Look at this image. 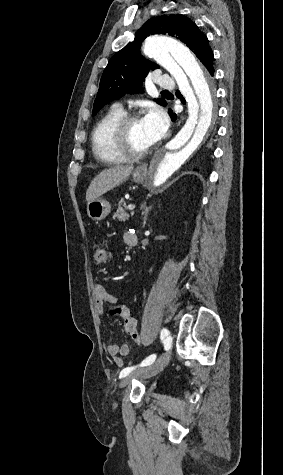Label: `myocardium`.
Masks as SVG:
<instances>
[{"mask_svg": "<svg viewBox=\"0 0 283 475\" xmlns=\"http://www.w3.org/2000/svg\"><path fill=\"white\" fill-rule=\"evenodd\" d=\"M140 118L138 112H132L126 114L122 119H120L111 131L109 137L110 142H117L120 144L129 143V134L131 131L132 124ZM153 151V146L148 150L141 153H132L129 156H110L106 154L102 148L99 149L98 155L104 162H136L143 161L146 159Z\"/></svg>", "mask_w": 283, "mask_h": 475, "instance_id": "obj_1", "label": "myocardium"}]
</instances>
